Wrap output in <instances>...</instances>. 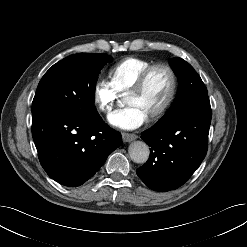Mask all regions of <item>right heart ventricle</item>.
Here are the masks:
<instances>
[{"label": "right heart ventricle", "instance_id": "e07e8e85", "mask_svg": "<svg viewBox=\"0 0 247 247\" xmlns=\"http://www.w3.org/2000/svg\"><path fill=\"white\" fill-rule=\"evenodd\" d=\"M152 63L148 60L128 57L115 64L109 71L111 86L118 94L127 93L140 74Z\"/></svg>", "mask_w": 247, "mask_h": 247}]
</instances>
